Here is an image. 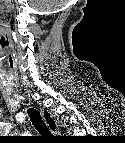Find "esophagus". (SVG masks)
<instances>
[{
  "instance_id": "1",
  "label": "esophagus",
  "mask_w": 125,
  "mask_h": 143,
  "mask_svg": "<svg viewBox=\"0 0 125 143\" xmlns=\"http://www.w3.org/2000/svg\"><path fill=\"white\" fill-rule=\"evenodd\" d=\"M41 115H42V118H43L45 124L47 125L48 129L53 134H56L58 132L59 127H58V124H57V121H56L54 115L44 109H41Z\"/></svg>"
}]
</instances>
